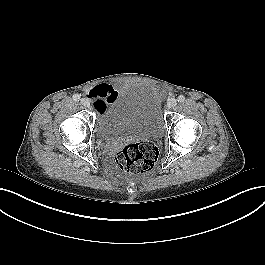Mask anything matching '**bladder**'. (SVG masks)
Instances as JSON below:
<instances>
[{
	"label": "bladder",
	"mask_w": 265,
	"mask_h": 265,
	"mask_svg": "<svg viewBox=\"0 0 265 265\" xmlns=\"http://www.w3.org/2000/svg\"><path fill=\"white\" fill-rule=\"evenodd\" d=\"M164 125L156 86L133 82L125 85L100 111L96 133L103 142L122 137L156 138L162 135Z\"/></svg>",
	"instance_id": "1"
}]
</instances>
